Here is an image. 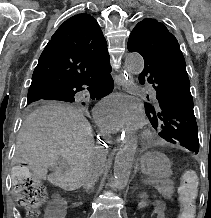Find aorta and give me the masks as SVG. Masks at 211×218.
Instances as JSON below:
<instances>
[{"instance_id": "aorta-1", "label": "aorta", "mask_w": 211, "mask_h": 218, "mask_svg": "<svg viewBox=\"0 0 211 218\" xmlns=\"http://www.w3.org/2000/svg\"><path fill=\"white\" fill-rule=\"evenodd\" d=\"M125 64L131 74L139 75L144 69V60L137 53L126 56ZM137 136H129L118 151L114 161V181L118 189H124L130 179L134 157L137 149Z\"/></svg>"}]
</instances>
